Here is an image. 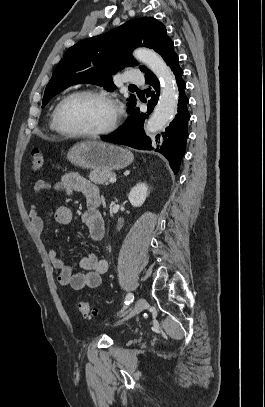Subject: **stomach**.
<instances>
[{
    "mask_svg": "<svg viewBox=\"0 0 265 407\" xmlns=\"http://www.w3.org/2000/svg\"><path fill=\"white\" fill-rule=\"evenodd\" d=\"M67 158L77 167L103 171L123 169L133 162L129 150L101 141L78 143L68 151Z\"/></svg>",
    "mask_w": 265,
    "mask_h": 407,
    "instance_id": "stomach-1",
    "label": "stomach"
}]
</instances>
